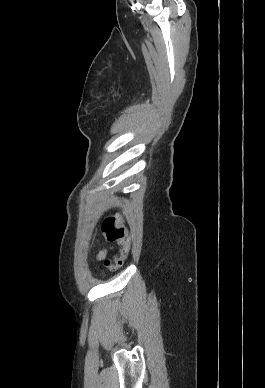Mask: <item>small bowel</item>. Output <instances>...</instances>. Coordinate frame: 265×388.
<instances>
[{
    "mask_svg": "<svg viewBox=\"0 0 265 388\" xmlns=\"http://www.w3.org/2000/svg\"><path fill=\"white\" fill-rule=\"evenodd\" d=\"M105 254H106V250L101 251V252L99 253V255H98V258H103V257L105 256Z\"/></svg>",
    "mask_w": 265,
    "mask_h": 388,
    "instance_id": "obj_1",
    "label": "small bowel"
}]
</instances>
